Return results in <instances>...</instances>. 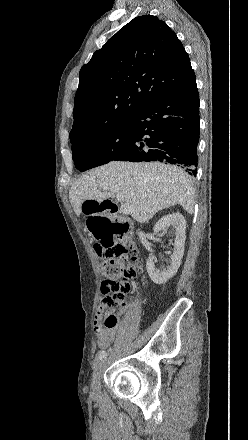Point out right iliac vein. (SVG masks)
Wrapping results in <instances>:
<instances>
[{
	"label": "right iliac vein",
	"mask_w": 248,
	"mask_h": 440,
	"mask_svg": "<svg viewBox=\"0 0 248 440\" xmlns=\"http://www.w3.org/2000/svg\"><path fill=\"white\" fill-rule=\"evenodd\" d=\"M105 366V359L98 361L94 367L93 376H92V390L94 394L99 392L100 388V378Z\"/></svg>",
	"instance_id": "obj_1"
}]
</instances>
